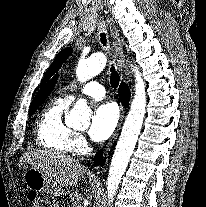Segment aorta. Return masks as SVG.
Instances as JSON below:
<instances>
[{"mask_svg":"<svg viewBox=\"0 0 206 207\" xmlns=\"http://www.w3.org/2000/svg\"><path fill=\"white\" fill-rule=\"evenodd\" d=\"M107 58L103 53H95L87 59L78 62L76 74L81 82H85L98 75L106 66ZM135 72V95L129 113L124 122L117 142L107 178L108 204L111 206L114 195L124 175L129 160L136 146L145 116L146 93L145 83L137 67ZM90 109L84 99H79L66 117V122L75 124L89 120Z\"/></svg>","mask_w":206,"mask_h":207,"instance_id":"762f6f07","label":"aorta"}]
</instances>
